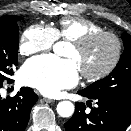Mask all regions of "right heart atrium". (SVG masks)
Masks as SVG:
<instances>
[{
  "mask_svg": "<svg viewBox=\"0 0 131 131\" xmlns=\"http://www.w3.org/2000/svg\"><path fill=\"white\" fill-rule=\"evenodd\" d=\"M56 40L57 37L53 28L41 24H32L22 33L19 53L27 56L48 51L53 47Z\"/></svg>",
  "mask_w": 131,
  "mask_h": 131,
  "instance_id": "1",
  "label": "right heart atrium"
}]
</instances>
